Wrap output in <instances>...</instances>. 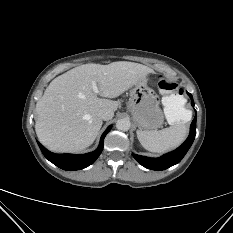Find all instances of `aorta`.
<instances>
[{
	"label": "aorta",
	"mask_w": 233,
	"mask_h": 233,
	"mask_svg": "<svg viewBox=\"0 0 233 233\" xmlns=\"http://www.w3.org/2000/svg\"><path fill=\"white\" fill-rule=\"evenodd\" d=\"M131 123L128 119H119L116 122V128L120 131H128L130 129Z\"/></svg>",
	"instance_id": "aorta-1"
}]
</instances>
